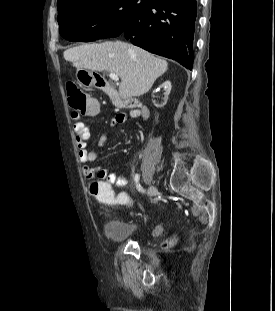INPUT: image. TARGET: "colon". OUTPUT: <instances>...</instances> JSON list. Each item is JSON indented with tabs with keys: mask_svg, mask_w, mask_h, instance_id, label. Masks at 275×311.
I'll use <instances>...</instances> for the list:
<instances>
[{
	"mask_svg": "<svg viewBox=\"0 0 275 311\" xmlns=\"http://www.w3.org/2000/svg\"><path fill=\"white\" fill-rule=\"evenodd\" d=\"M70 107L77 113H82L83 117H94L99 113V106L94 97H87L86 92L80 89L76 84L69 83L66 87ZM92 183V197H96L97 202H114L115 200V183ZM120 203L126 202V197L130 196L129 190H120Z\"/></svg>",
	"mask_w": 275,
	"mask_h": 311,
	"instance_id": "5ec220e1",
	"label": "colon"
}]
</instances>
